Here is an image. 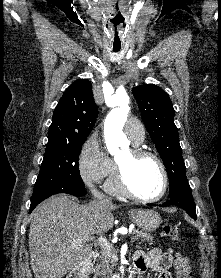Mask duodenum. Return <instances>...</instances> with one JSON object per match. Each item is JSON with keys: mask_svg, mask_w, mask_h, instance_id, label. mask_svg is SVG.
I'll return each mask as SVG.
<instances>
[{"mask_svg": "<svg viewBox=\"0 0 221 278\" xmlns=\"http://www.w3.org/2000/svg\"><path fill=\"white\" fill-rule=\"evenodd\" d=\"M95 260V254L91 253L88 258L76 265L68 274L67 278H88V270ZM134 271H137L134 268Z\"/></svg>", "mask_w": 221, "mask_h": 278, "instance_id": "duodenum-1", "label": "duodenum"}]
</instances>
